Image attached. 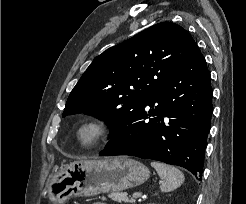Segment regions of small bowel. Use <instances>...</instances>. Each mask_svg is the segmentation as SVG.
Returning <instances> with one entry per match:
<instances>
[{
	"label": "small bowel",
	"mask_w": 246,
	"mask_h": 204,
	"mask_svg": "<svg viewBox=\"0 0 246 204\" xmlns=\"http://www.w3.org/2000/svg\"><path fill=\"white\" fill-rule=\"evenodd\" d=\"M94 204H106V203H103V202H97V203H94Z\"/></svg>",
	"instance_id": "c3829d8e"
}]
</instances>
